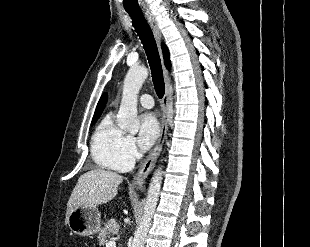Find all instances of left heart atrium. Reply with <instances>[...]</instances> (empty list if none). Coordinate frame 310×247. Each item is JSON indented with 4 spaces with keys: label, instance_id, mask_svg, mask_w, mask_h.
<instances>
[{
    "label": "left heart atrium",
    "instance_id": "1",
    "mask_svg": "<svg viewBox=\"0 0 310 247\" xmlns=\"http://www.w3.org/2000/svg\"><path fill=\"white\" fill-rule=\"evenodd\" d=\"M159 123L153 113H145L140 118L138 140L143 150L149 149L159 136Z\"/></svg>",
    "mask_w": 310,
    "mask_h": 247
}]
</instances>
